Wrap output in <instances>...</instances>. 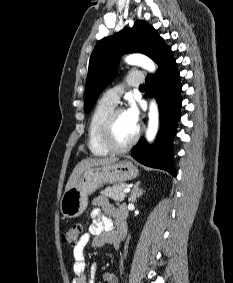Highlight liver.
Here are the masks:
<instances>
[{"label": "liver", "instance_id": "obj_1", "mask_svg": "<svg viewBox=\"0 0 233 283\" xmlns=\"http://www.w3.org/2000/svg\"><path fill=\"white\" fill-rule=\"evenodd\" d=\"M119 160L117 157H107V158H86L81 160L74 168L71 173L68 182L65 187V192L73 188L76 182L78 181L82 172L89 168L95 166H104L112 163H116Z\"/></svg>", "mask_w": 233, "mask_h": 283}]
</instances>
